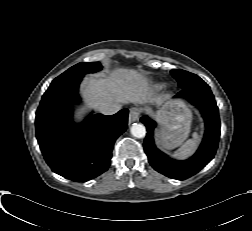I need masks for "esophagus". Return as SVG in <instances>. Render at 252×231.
Here are the masks:
<instances>
[{
	"label": "esophagus",
	"instance_id": "34e87169",
	"mask_svg": "<svg viewBox=\"0 0 252 231\" xmlns=\"http://www.w3.org/2000/svg\"><path fill=\"white\" fill-rule=\"evenodd\" d=\"M140 113V108H132L129 113V124L136 122L139 119Z\"/></svg>",
	"mask_w": 252,
	"mask_h": 231
}]
</instances>
